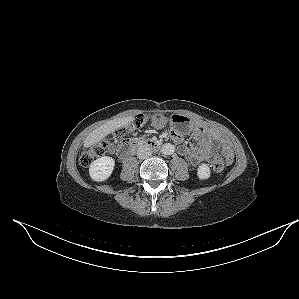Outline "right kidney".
I'll return each instance as SVG.
<instances>
[{"instance_id":"right-kidney-1","label":"right kidney","mask_w":299,"mask_h":299,"mask_svg":"<svg viewBox=\"0 0 299 299\" xmlns=\"http://www.w3.org/2000/svg\"><path fill=\"white\" fill-rule=\"evenodd\" d=\"M115 160L112 157L104 156L91 163L89 168L90 177L97 182L107 180L114 169Z\"/></svg>"}]
</instances>
